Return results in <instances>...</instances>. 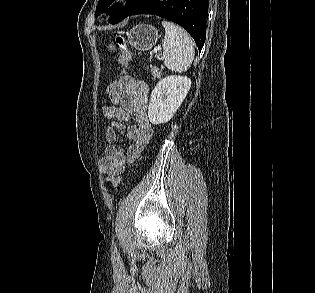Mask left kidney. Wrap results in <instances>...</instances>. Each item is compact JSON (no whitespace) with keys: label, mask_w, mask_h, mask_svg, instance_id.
Listing matches in <instances>:
<instances>
[{"label":"left kidney","mask_w":315,"mask_h":293,"mask_svg":"<svg viewBox=\"0 0 315 293\" xmlns=\"http://www.w3.org/2000/svg\"><path fill=\"white\" fill-rule=\"evenodd\" d=\"M191 87L186 76L171 75L161 79L151 93L148 116L152 124L168 122L185 99Z\"/></svg>","instance_id":"left-kidney-1"}]
</instances>
